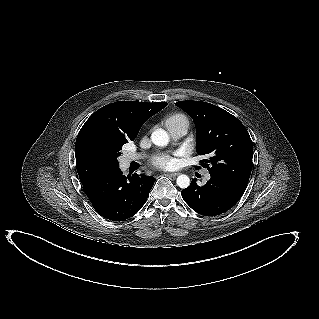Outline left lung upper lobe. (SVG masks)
Returning <instances> with one entry per match:
<instances>
[{
  "instance_id": "1",
  "label": "left lung upper lobe",
  "mask_w": 319,
  "mask_h": 319,
  "mask_svg": "<svg viewBox=\"0 0 319 319\" xmlns=\"http://www.w3.org/2000/svg\"><path fill=\"white\" fill-rule=\"evenodd\" d=\"M193 119L197 152L209 155L200 161L210 174L230 178L247 186L252 170V141L245 126L224 109L206 102L175 103Z\"/></svg>"
}]
</instances>
